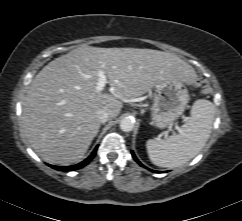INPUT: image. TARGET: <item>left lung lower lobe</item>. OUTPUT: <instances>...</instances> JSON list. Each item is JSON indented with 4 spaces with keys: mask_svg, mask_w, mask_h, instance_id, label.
I'll list each match as a JSON object with an SVG mask.
<instances>
[{
    "mask_svg": "<svg viewBox=\"0 0 242 221\" xmlns=\"http://www.w3.org/2000/svg\"><path fill=\"white\" fill-rule=\"evenodd\" d=\"M132 153V156H133V158H134V160L140 165V166H142V167H144V168H147V167H145L138 159H137V157L135 156V154H134V152H131ZM150 170V169H149ZM150 171H152V172H156V173H159L158 171H153V170H150Z\"/></svg>",
    "mask_w": 242,
    "mask_h": 221,
    "instance_id": "0a47b994",
    "label": "left lung lower lobe"
}]
</instances>
